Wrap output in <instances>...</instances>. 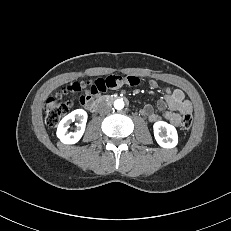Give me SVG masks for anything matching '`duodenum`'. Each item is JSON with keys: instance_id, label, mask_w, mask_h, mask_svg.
Segmentation results:
<instances>
[{"instance_id": "410a0bca", "label": "duodenum", "mask_w": 231, "mask_h": 231, "mask_svg": "<svg viewBox=\"0 0 231 231\" xmlns=\"http://www.w3.org/2000/svg\"><path fill=\"white\" fill-rule=\"evenodd\" d=\"M113 99L114 97L111 95H101L97 97L96 99H94L93 101H91L88 108L91 112H95L99 108L100 105L107 103Z\"/></svg>"}]
</instances>
